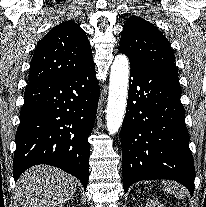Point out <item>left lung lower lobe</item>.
I'll return each instance as SVG.
<instances>
[{
  "label": "left lung lower lobe",
  "instance_id": "left-lung-lower-lobe-1",
  "mask_svg": "<svg viewBox=\"0 0 206 207\" xmlns=\"http://www.w3.org/2000/svg\"><path fill=\"white\" fill-rule=\"evenodd\" d=\"M178 76L131 62L127 110L121 127L123 187L141 180L169 179L194 192Z\"/></svg>",
  "mask_w": 206,
  "mask_h": 207
}]
</instances>
